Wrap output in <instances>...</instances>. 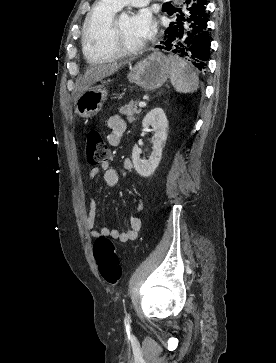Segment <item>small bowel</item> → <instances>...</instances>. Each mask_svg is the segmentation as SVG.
Returning <instances> with one entry per match:
<instances>
[{
  "mask_svg": "<svg viewBox=\"0 0 276 363\" xmlns=\"http://www.w3.org/2000/svg\"><path fill=\"white\" fill-rule=\"evenodd\" d=\"M107 126L110 129V133L107 136V142L111 147H116L120 143L121 137L126 130V122L121 116L114 115L107 120ZM123 166L126 170L129 171L133 169V163L129 159L124 161ZM100 171H103V180L107 186L115 187L118 185V172L114 168L110 167L108 162L103 163L99 167L91 169L89 172V180L93 182L97 178ZM143 207V201L139 199L136 203L134 214L128 222V228L125 231H119L109 227L96 228V203L93 199H90L89 209L86 216L87 230L94 238L107 236L118 240L121 243L135 241L138 238V234L142 226L141 213L143 211Z\"/></svg>",
  "mask_w": 276,
  "mask_h": 363,
  "instance_id": "1",
  "label": "small bowel"
}]
</instances>
